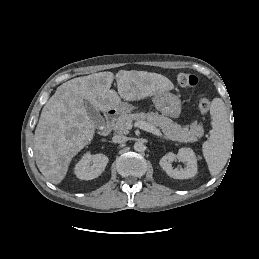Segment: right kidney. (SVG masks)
<instances>
[{
  "label": "right kidney",
  "instance_id": "right-kidney-1",
  "mask_svg": "<svg viewBox=\"0 0 259 259\" xmlns=\"http://www.w3.org/2000/svg\"><path fill=\"white\" fill-rule=\"evenodd\" d=\"M109 159L104 154L86 153L75 166V175L81 180H92L100 176Z\"/></svg>",
  "mask_w": 259,
  "mask_h": 259
}]
</instances>
